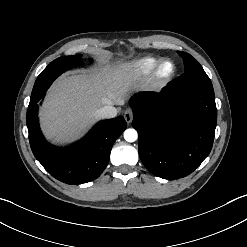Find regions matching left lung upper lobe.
Masks as SVG:
<instances>
[{
    "instance_id": "left-lung-upper-lobe-1",
    "label": "left lung upper lobe",
    "mask_w": 247,
    "mask_h": 247,
    "mask_svg": "<svg viewBox=\"0 0 247 247\" xmlns=\"http://www.w3.org/2000/svg\"><path fill=\"white\" fill-rule=\"evenodd\" d=\"M182 57L185 66V73L174 81L179 87H209L212 88L210 78L207 76L202 66L190 54L177 51Z\"/></svg>"
}]
</instances>
